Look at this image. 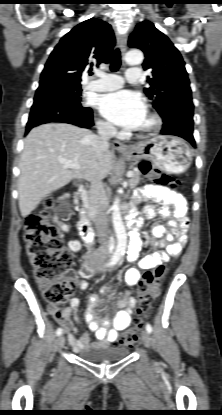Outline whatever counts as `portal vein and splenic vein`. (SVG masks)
<instances>
[{
    "mask_svg": "<svg viewBox=\"0 0 222 415\" xmlns=\"http://www.w3.org/2000/svg\"><path fill=\"white\" fill-rule=\"evenodd\" d=\"M60 162L65 168L80 169V166L75 161L60 159ZM132 175H133L132 171L127 172L128 178L132 177Z\"/></svg>",
    "mask_w": 222,
    "mask_h": 415,
    "instance_id": "18ae733b",
    "label": "portal vein and splenic vein"
}]
</instances>
